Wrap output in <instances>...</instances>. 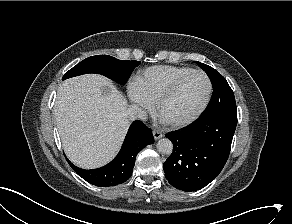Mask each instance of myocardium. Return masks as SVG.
I'll return each mask as SVG.
<instances>
[{
  "label": "myocardium",
  "instance_id": "f54148a6",
  "mask_svg": "<svg viewBox=\"0 0 292 224\" xmlns=\"http://www.w3.org/2000/svg\"><path fill=\"white\" fill-rule=\"evenodd\" d=\"M195 75H202L205 77L208 84L206 97L203 103L201 104V106L198 108V110L190 117L180 120V121L166 122V124L170 126L171 128L178 129V128H182L193 123L204 113V111L206 110V108L208 107L210 103L212 93H213L212 80L206 72L201 71V70H195L180 77L158 97V99L156 100V105H155L156 113L160 115V109L163 106V104L166 101H168L170 98H172L188 79H190L191 77Z\"/></svg>",
  "mask_w": 292,
  "mask_h": 224
}]
</instances>
